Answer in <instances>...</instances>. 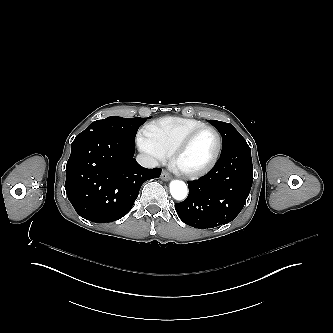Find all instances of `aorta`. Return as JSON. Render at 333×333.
<instances>
[{
  "instance_id": "1",
  "label": "aorta",
  "mask_w": 333,
  "mask_h": 333,
  "mask_svg": "<svg viewBox=\"0 0 333 333\" xmlns=\"http://www.w3.org/2000/svg\"><path fill=\"white\" fill-rule=\"evenodd\" d=\"M170 194L175 200H184L188 195V188L184 181L172 180L169 185Z\"/></svg>"
}]
</instances>
